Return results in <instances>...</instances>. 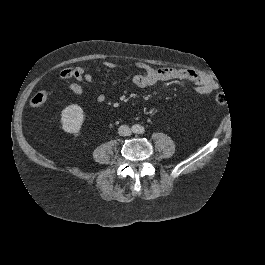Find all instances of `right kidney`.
I'll return each mask as SVG.
<instances>
[{"instance_id": "ca27d5eb", "label": "right kidney", "mask_w": 265, "mask_h": 265, "mask_svg": "<svg viewBox=\"0 0 265 265\" xmlns=\"http://www.w3.org/2000/svg\"><path fill=\"white\" fill-rule=\"evenodd\" d=\"M84 118L83 109L79 105H68L61 112L62 130L67 134H79Z\"/></svg>"}]
</instances>
